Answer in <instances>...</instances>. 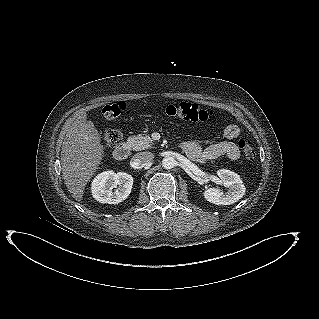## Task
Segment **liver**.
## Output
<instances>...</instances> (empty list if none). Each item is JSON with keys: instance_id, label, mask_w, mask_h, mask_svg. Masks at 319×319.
<instances>
[{"instance_id": "liver-1", "label": "liver", "mask_w": 319, "mask_h": 319, "mask_svg": "<svg viewBox=\"0 0 319 319\" xmlns=\"http://www.w3.org/2000/svg\"><path fill=\"white\" fill-rule=\"evenodd\" d=\"M103 156V146L93 122L81 113L72 121L61 149L62 176L68 191L76 201H81L84 188L98 169Z\"/></svg>"}]
</instances>
